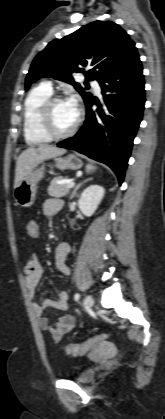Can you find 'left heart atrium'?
Here are the masks:
<instances>
[{
  "mask_svg": "<svg viewBox=\"0 0 165 419\" xmlns=\"http://www.w3.org/2000/svg\"><path fill=\"white\" fill-rule=\"evenodd\" d=\"M67 103H68L74 117L78 118L79 113H80V107H79L78 99L76 97H71L70 99L67 100Z\"/></svg>",
  "mask_w": 165,
  "mask_h": 419,
  "instance_id": "obj_1",
  "label": "left heart atrium"
}]
</instances>
